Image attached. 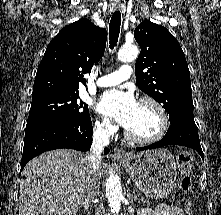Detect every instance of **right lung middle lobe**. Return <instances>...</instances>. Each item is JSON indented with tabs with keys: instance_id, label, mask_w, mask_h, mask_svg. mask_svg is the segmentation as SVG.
Listing matches in <instances>:
<instances>
[{
	"instance_id": "1",
	"label": "right lung middle lobe",
	"mask_w": 221,
	"mask_h": 215,
	"mask_svg": "<svg viewBox=\"0 0 221 215\" xmlns=\"http://www.w3.org/2000/svg\"><path fill=\"white\" fill-rule=\"evenodd\" d=\"M90 120L88 106L79 100V93H63L32 101L26 128L48 123L75 127Z\"/></svg>"
}]
</instances>
